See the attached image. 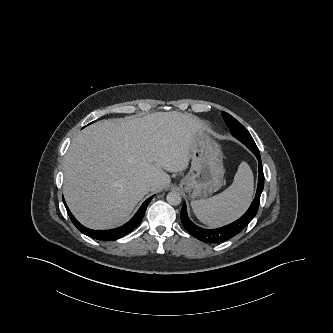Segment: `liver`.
I'll use <instances>...</instances> for the list:
<instances>
[{
	"label": "liver",
	"mask_w": 333,
	"mask_h": 333,
	"mask_svg": "<svg viewBox=\"0 0 333 333\" xmlns=\"http://www.w3.org/2000/svg\"><path fill=\"white\" fill-rule=\"evenodd\" d=\"M200 119L180 112L98 121L72 141L64 161L65 200L83 225L123 224L150 191L170 184L168 172L188 167ZM154 181L153 186H148Z\"/></svg>",
	"instance_id": "obj_1"
}]
</instances>
